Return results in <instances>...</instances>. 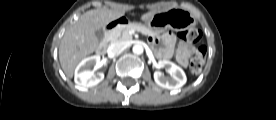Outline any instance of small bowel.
<instances>
[{"instance_id": "small-bowel-1", "label": "small bowel", "mask_w": 276, "mask_h": 120, "mask_svg": "<svg viewBox=\"0 0 276 120\" xmlns=\"http://www.w3.org/2000/svg\"><path fill=\"white\" fill-rule=\"evenodd\" d=\"M154 42L161 43V46L156 51L159 58L169 59L175 55L177 62L186 66L192 55V47L185 43H179L175 51L176 37L173 33L168 32L162 38L154 39Z\"/></svg>"}]
</instances>
